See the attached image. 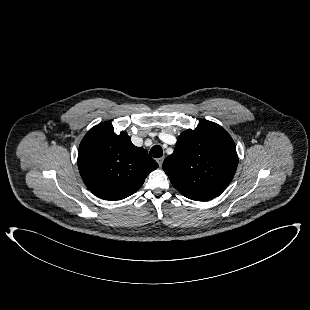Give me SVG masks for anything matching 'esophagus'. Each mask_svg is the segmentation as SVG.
Returning <instances> with one entry per match:
<instances>
[{"mask_svg":"<svg viewBox=\"0 0 310 310\" xmlns=\"http://www.w3.org/2000/svg\"><path fill=\"white\" fill-rule=\"evenodd\" d=\"M163 160H164L163 157L157 159V163H158L159 167L162 166Z\"/></svg>","mask_w":310,"mask_h":310,"instance_id":"1","label":"esophagus"}]
</instances>
